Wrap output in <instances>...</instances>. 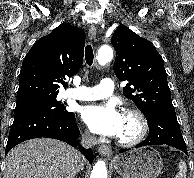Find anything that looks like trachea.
<instances>
[{"label":"trachea","instance_id":"1","mask_svg":"<svg viewBox=\"0 0 194 178\" xmlns=\"http://www.w3.org/2000/svg\"><path fill=\"white\" fill-rule=\"evenodd\" d=\"M85 59H86V63L89 66L93 64L94 54H93L92 46L90 44L87 45L85 48Z\"/></svg>","mask_w":194,"mask_h":178}]
</instances>
